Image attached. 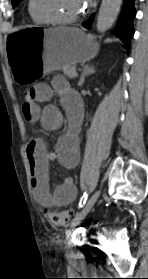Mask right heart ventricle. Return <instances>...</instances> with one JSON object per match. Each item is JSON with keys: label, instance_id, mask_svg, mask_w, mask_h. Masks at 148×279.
I'll list each match as a JSON object with an SVG mask.
<instances>
[{"label": "right heart ventricle", "instance_id": "1", "mask_svg": "<svg viewBox=\"0 0 148 279\" xmlns=\"http://www.w3.org/2000/svg\"><path fill=\"white\" fill-rule=\"evenodd\" d=\"M28 10H29V13H30L31 18H32V20H33L34 23H36V24H45L44 21L39 20L38 18H36V17L32 14L31 9H30V2H29Z\"/></svg>", "mask_w": 148, "mask_h": 279}]
</instances>
